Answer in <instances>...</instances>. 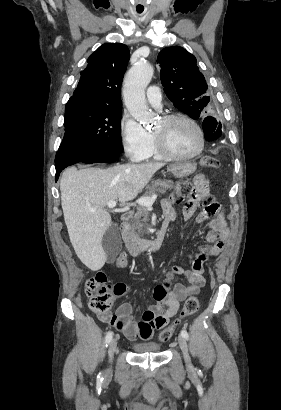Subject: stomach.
Returning <instances> with one entry per match:
<instances>
[{"mask_svg": "<svg viewBox=\"0 0 281 410\" xmlns=\"http://www.w3.org/2000/svg\"><path fill=\"white\" fill-rule=\"evenodd\" d=\"M195 170L196 164L192 162L178 163L170 166L171 173L177 178L187 177L194 173Z\"/></svg>", "mask_w": 281, "mask_h": 410, "instance_id": "stomach-1", "label": "stomach"}]
</instances>
